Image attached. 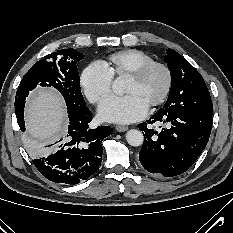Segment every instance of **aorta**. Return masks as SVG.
Instances as JSON below:
<instances>
[{
	"label": "aorta",
	"mask_w": 233,
	"mask_h": 233,
	"mask_svg": "<svg viewBox=\"0 0 233 233\" xmlns=\"http://www.w3.org/2000/svg\"><path fill=\"white\" fill-rule=\"evenodd\" d=\"M114 93L121 95L124 93V82L121 78H117L112 85ZM126 140L129 145L138 147L143 144L144 136L141 131L131 129L126 133Z\"/></svg>",
	"instance_id": "aorta-1"
}]
</instances>
